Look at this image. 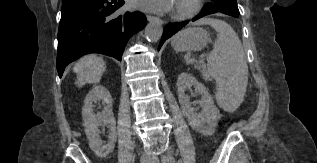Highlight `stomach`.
<instances>
[{
	"label": "stomach",
	"mask_w": 317,
	"mask_h": 163,
	"mask_svg": "<svg viewBox=\"0 0 317 163\" xmlns=\"http://www.w3.org/2000/svg\"><path fill=\"white\" fill-rule=\"evenodd\" d=\"M210 42L208 32L199 27L185 29L176 34L172 40L175 51H199Z\"/></svg>",
	"instance_id": "obj_1"
}]
</instances>
